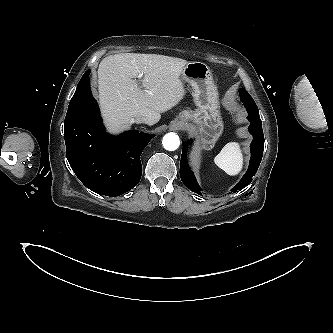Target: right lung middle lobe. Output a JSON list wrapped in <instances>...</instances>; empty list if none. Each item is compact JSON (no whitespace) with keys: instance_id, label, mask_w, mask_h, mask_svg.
Returning <instances> with one entry per match:
<instances>
[{"instance_id":"1","label":"right lung middle lobe","mask_w":333,"mask_h":333,"mask_svg":"<svg viewBox=\"0 0 333 333\" xmlns=\"http://www.w3.org/2000/svg\"><path fill=\"white\" fill-rule=\"evenodd\" d=\"M89 74H90V70H88V71L85 72V74H84L83 77L81 78V80H80V82H79V84H78L76 90H78V88H80V87L83 85L84 77H87ZM72 98H73V97H72ZM71 101H72V99H71Z\"/></svg>"}]
</instances>
